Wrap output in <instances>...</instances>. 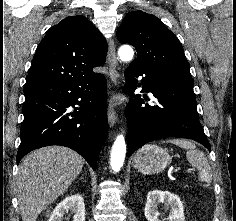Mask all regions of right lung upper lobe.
Instances as JSON below:
<instances>
[{"label":"right lung upper lobe","mask_w":236,"mask_h":221,"mask_svg":"<svg viewBox=\"0 0 236 221\" xmlns=\"http://www.w3.org/2000/svg\"><path fill=\"white\" fill-rule=\"evenodd\" d=\"M107 44L84 16H69L49 29L33 57L24 93L96 75L105 63Z\"/></svg>","instance_id":"cb5924a9"}]
</instances>
